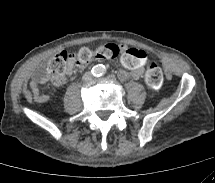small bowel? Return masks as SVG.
Instances as JSON below:
<instances>
[{
  "label": "small bowel",
  "instance_id": "small-bowel-1",
  "mask_svg": "<svg viewBox=\"0 0 215 183\" xmlns=\"http://www.w3.org/2000/svg\"><path fill=\"white\" fill-rule=\"evenodd\" d=\"M125 49V46H122ZM148 59V52L145 48L137 45H130L120 55V62L125 68L118 71L120 80H127L128 78L139 79L143 76L144 65ZM74 64L69 66L67 76L73 72ZM66 77L57 78L49 74V72H41L34 76L30 82V91L36 102L43 103L48 100V96L40 92L39 88L50 82L55 86L64 83Z\"/></svg>",
  "mask_w": 215,
  "mask_h": 183
}]
</instances>
